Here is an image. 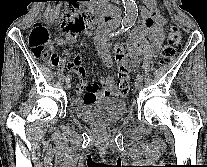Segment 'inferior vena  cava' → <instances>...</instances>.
Returning a JSON list of instances; mask_svg holds the SVG:
<instances>
[{"label":"inferior vena cava","instance_id":"1","mask_svg":"<svg viewBox=\"0 0 207 167\" xmlns=\"http://www.w3.org/2000/svg\"><path fill=\"white\" fill-rule=\"evenodd\" d=\"M100 7L105 9L108 6V0H100Z\"/></svg>","mask_w":207,"mask_h":167}]
</instances>
